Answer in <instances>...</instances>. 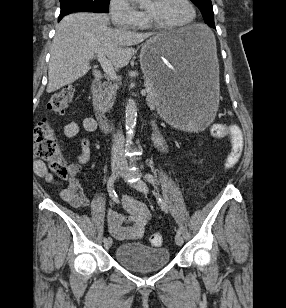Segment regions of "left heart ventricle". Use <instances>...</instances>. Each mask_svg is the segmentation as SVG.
<instances>
[{"instance_id": "b2bd125f", "label": "left heart ventricle", "mask_w": 286, "mask_h": 308, "mask_svg": "<svg viewBox=\"0 0 286 308\" xmlns=\"http://www.w3.org/2000/svg\"><path fill=\"white\" fill-rule=\"evenodd\" d=\"M144 9L150 16L169 24H182L192 17L185 0H149Z\"/></svg>"}]
</instances>
